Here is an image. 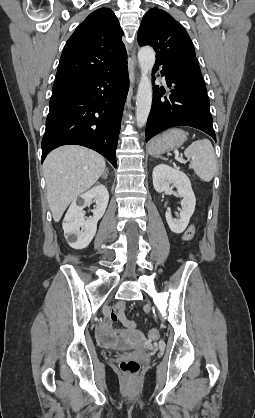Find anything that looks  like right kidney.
Wrapping results in <instances>:
<instances>
[{
    "label": "right kidney",
    "instance_id": "obj_1",
    "mask_svg": "<svg viewBox=\"0 0 255 418\" xmlns=\"http://www.w3.org/2000/svg\"><path fill=\"white\" fill-rule=\"evenodd\" d=\"M92 200L96 203L93 218L85 220L83 209ZM108 201L109 193L104 185L95 186L73 200L62 223L64 236L72 248L83 249L89 245L96 234L97 222L104 215Z\"/></svg>",
    "mask_w": 255,
    "mask_h": 418
}]
</instances>
